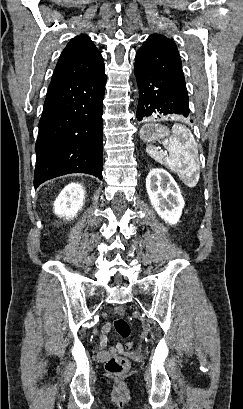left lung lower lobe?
<instances>
[{
    "label": "left lung lower lobe",
    "mask_w": 243,
    "mask_h": 409,
    "mask_svg": "<svg viewBox=\"0 0 243 409\" xmlns=\"http://www.w3.org/2000/svg\"><path fill=\"white\" fill-rule=\"evenodd\" d=\"M140 90L137 119L148 116L189 115V98L185 82L167 74L134 65Z\"/></svg>",
    "instance_id": "obj_1"
}]
</instances>
